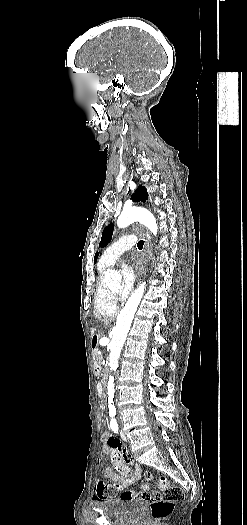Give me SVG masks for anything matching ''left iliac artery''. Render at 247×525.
<instances>
[{
  "instance_id": "1",
  "label": "left iliac artery",
  "mask_w": 247,
  "mask_h": 525,
  "mask_svg": "<svg viewBox=\"0 0 247 525\" xmlns=\"http://www.w3.org/2000/svg\"><path fill=\"white\" fill-rule=\"evenodd\" d=\"M110 428L112 429V431H114L115 433H118V424L116 421H112L110 423Z\"/></svg>"
}]
</instances>
